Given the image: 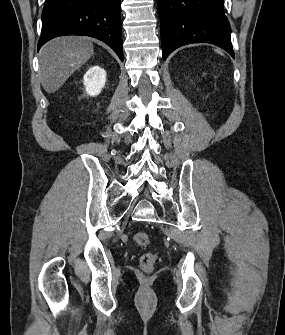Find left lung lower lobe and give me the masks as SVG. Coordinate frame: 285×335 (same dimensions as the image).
<instances>
[{
    "instance_id": "0a47b994",
    "label": "left lung lower lobe",
    "mask_w": 285,
    "mask_h": 335,
    "mask_svg": "<svg viewBox=\"0 0 285 335\" xmlns=\"http://www.w3.org/2000/svg\"><path fill=\"white\" fill-rule=\"evenodd\" d=\"M223 4L224 0H158L163 60L191 43H211L234 57Z\"/></svg>"
}]
</instances>
